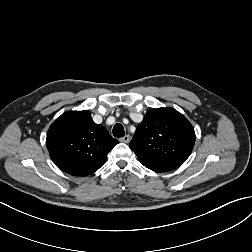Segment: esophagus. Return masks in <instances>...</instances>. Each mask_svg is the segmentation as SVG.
Listing matches in <instances>:
<instances>
[{"label": "esophagus", "mask_w": 252, "mask_h": 252, "mask_svg": "<svg viewBox=\"0 0 252 252\" xmlns=\"http://www.w3.org/2000/svg\"><path fill=\"white\" fill-rule=\"evenodd\" d=\"M130 139H131V136L127 134L124 137L120 138V141L124 143H129Z\"/></svg>", "instance_id": "esophagus-1"}]
</instances>
